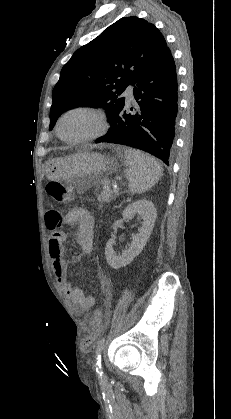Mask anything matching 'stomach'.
<instances>
[{
    "label": "stomach",
    "instance_id": "stomach-1",
    "mask_svg": "<svg viewBox=\"0 0 231 419\" xmlns=\"http://www.w3.org/2000/svg\"><path fill=\"white\" fill-rule=\"evenodd\" d=\"M113 158L97 152H77L46 164V176L53 181H69L82 191L99 183L115 170Z\"/></svg>",
    "mask_w": 231,
    "mask_h": 419
}]
</instances>
